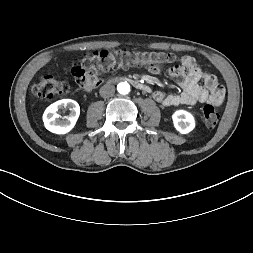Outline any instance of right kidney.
Here are the masks:
<instances>
[{
  "label": "right kidney",
  "instance_id": "right-kidney-1",
  "mask_svg": "<svg viewBox=\"0 0 253 253\" xmlns=\"http://www.w3.org/2000/svg\"><path fill=\"white\" fill-rule=\"evenodd\" d=\"M69 109L70 114L59 119L60 109ZM79 104L72 99H62L51 104L43 114L44 125L47 130L56 134H66L75 126L79 117Z\"/></svg>",
  "mask_w": 253,
  "mask_h": 253
}]
</instances>
